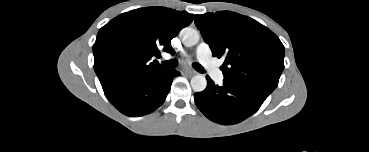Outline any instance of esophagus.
<instances>
[{
  "mask_svg": "<svg viewBox=\"0 0 369 152\" xmlns=\"http://www.w3.org/2000/svg\"><path fill=\"white\" fill-rule=\"evenodd\" d=\"M196 73H197L196 71L191 70V69H186V70L183 71V74L186 75V76H193Z\"/></svg>",
  "mask_w": 369,
  "mask_h": 152,
  "instance_id": "1",
  "label": "esophagus"
}]
</instances>
